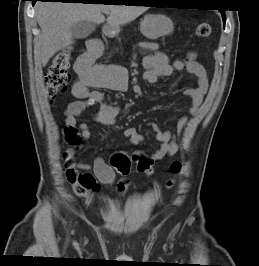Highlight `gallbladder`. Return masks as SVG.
<instances>
[{"instance_id":"obj_1","label":"gallbladder","mask_w":259,"mask_h":266,"mask_svg":"<svg viewBox=\"0 0 259 266\" xmlns=\"http://www.w3.org/2000/svg\"><path fill=\"white\" fill-rule=\"evenodd\" d=\"M94 30H95L94 23L81 21L74 24L71 27V34L73 38L83 39L88 37Z\"/></svg>"}]
</instances>
